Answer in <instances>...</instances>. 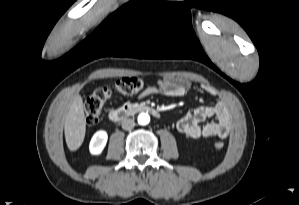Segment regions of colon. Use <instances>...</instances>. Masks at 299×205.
<instances>
[{"mask_svg":"<svg viewBox=\"0 0 299 205\" xmlns=\"http://www.w3.org/2000/svg\"><path fill=\"white\" fill-rule=\"evenodd\" d=\"M157 87L164 85L163 81L156 83ZM148 86L145 80L138 77H123L116 81L114 88L101 87L96 89L85 102V119L88 126H94L99 122L100 113L105 103L114 95L130 96L143 91ZM214 147L218 150L224 147V143L217 141Z\"/></svg>","mask_w":299,"mask_h":205,"instance_id":"5ec220e1","label":"colon"}]
</instances>
